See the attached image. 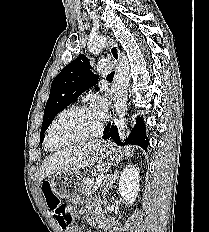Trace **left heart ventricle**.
I'll list each match as a JSON object with an SVG mask.
<instances>
[{
    "label": "left heart ventricle",
    "instance_id": "obj_1",
    "mask_svg": "<svg viewBox=\"0 0 209 232\" xmlns=\"http://www.w3.org/2000/svg\"><path fill=\"white\" fill-rule=\"evenodd\" d=\"M100 120L92 110L70 112L54 126L51 144L55 147L60 146L69 140L89 134L95 130Z\"/></svg>",
    "mask_w": 209,
    "mask_h": 232
}]
</instances>
